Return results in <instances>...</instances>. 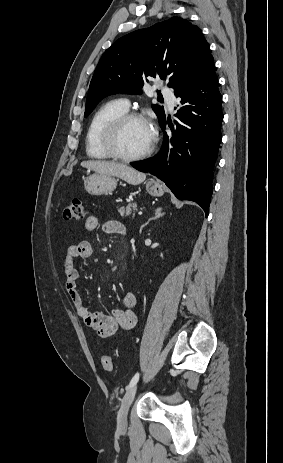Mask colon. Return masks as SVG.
Returning <instances> with one entry per match:
<instances>
[{
	"mask_svg": "<svg viewBox=\"0 0 283 463\" xmlns=\"http://www.w3.org/2000/svg\"><path fill=\"white\" fill-rule=\"evenodd\" d=\"M86 205L82 200L75 199L71 201L64 209L63 216L66 220H80L86 215ZM101 363L104 370L110 372L114 368V362L110 355H103Z\"/></svg>",
	"mask_w": 283,
	"mask_h": 463,
	"instance_id": "colon-1",
	"label": "colon"
}]
</instances>
